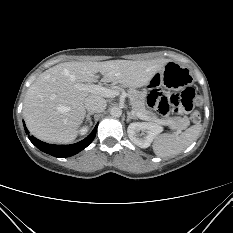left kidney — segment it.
Masks as SVG:
<instances>
[{"instance_id":"obj_1","label":"left kidney","mask_w":233,"mask_h":233,"mask_svg":"<svg viewBox=\"0 0 233 233\" xmlns=\"http://www.w3.org/2000/svg\"><path fill=\"white\" fill-rule=\"evenodd\" d=\"M162 130L163 128L155 123L133 122L128 126L127 133L132 143L140 148H147ZM140 131L141 135L145 134V136L141 137Z\"/></svg>"}]
</instances>
